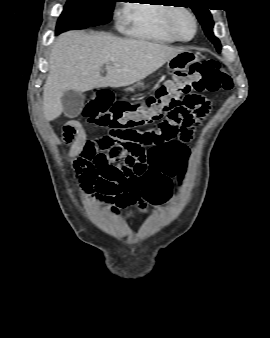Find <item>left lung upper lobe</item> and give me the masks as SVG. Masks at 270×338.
I'll use <instances>...</instances> for the list:
<instances>
[{"label":"left lung upper lobe","mask_w":270,"mask_h":338,"mask_svg":"<svg viewBox=\"0 0 270 338\" xmlns=\"http://www.w3.org/2000/svg\"><path fill=\"white\" fill-rule=\"evenodd\" d=\"M194 6L190 7L196 14L199 22L202 25V28L206 34V36L209 38V40L215 45L218 52L221 51V43L218 40L217 37L213 34V19L211 16V13L209 12V9H207L205 6L207 5L206 0H195Z\"/></svg>","instance_id":"1"}]
</instances>
